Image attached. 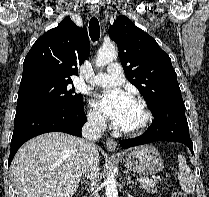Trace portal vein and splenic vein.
Instances as JSON below:
<instances>
[{"label": "portal vein and splenic vein", "instance_id": "1", "mask_svg": "<svg viewBox=\"0 0 209 197\" xmlns=\"http://www.w3.org/2000/svg\"><path fill=\"white\" fill-rule=\"evenodd\" d=\"M137 181L139 183H145V184H148V183H152L153 182L152 179H148V178H139V179H137Z\"/></svg>", "mask_w": 209, "mask_h": 197}]
</instances>
